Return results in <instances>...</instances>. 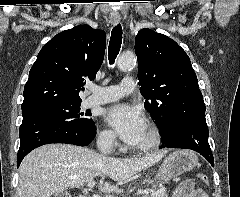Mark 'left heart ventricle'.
<instances>
[{"mask_svg": "<svg viewBox=\"0 0 240 197\" xmlns=\"http://www.w3.org/2000/svg\"><path fill=\"white\" fill-rule=\"evenodd\" d=\"M149 140V132H148V129L146 128L142 137L139 139V141L134 144V145H141V144H144L146 143L147 141Z\"/></svg>", "mask_w": 240, "mask_h": 197, "instance_id": "left-heart-ventricle-1", "label": "left heart ventricle"}]
</instances>
